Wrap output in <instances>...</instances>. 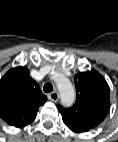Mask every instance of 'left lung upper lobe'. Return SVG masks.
Listing matches in <instances>:
<instances>
[{"label":"left lung upper lobe","instance_id":"1","mask_svg":"<svg viewBox=\"0 0 118 142\" xmlns=\"http://www.w3.org/2000/svg\"><path fill=\"white\" fill-rule=\"evenodd\" d=\"M76 103L70 108L57 106L64 124L73 132H87L97 127L110 110V90L106 80L95 70L75 77Z\"/></svg>","mask_w":118,"mask_h":142}]
</instances>
